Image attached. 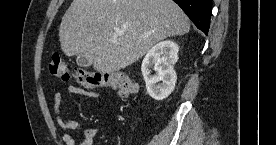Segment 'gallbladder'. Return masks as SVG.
Wrapping results in <instances>:
<instances>
[{
	"label": "gallbladder",
	"instance_id": "gallbladder-1",
	"mask_svg": "<svg viewBox=\"0 0 276 145\" xmlns=\"http://www.w3.org/2000/svg\"><path fill=\"white\" fill-rule=\"evenodd\" d=\"M77 64L80 67H89L91 66V62L88 60V58L84 54H78L76 59Z\"/></svg>",
	"mask_w": 276,
	"mask_h": 145
}]
</instances>
